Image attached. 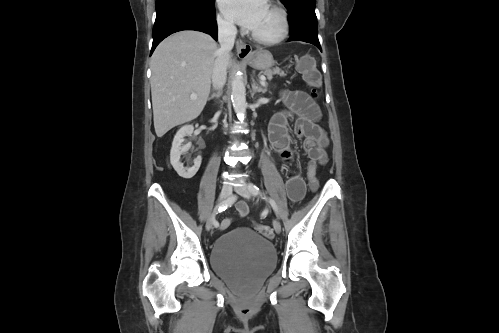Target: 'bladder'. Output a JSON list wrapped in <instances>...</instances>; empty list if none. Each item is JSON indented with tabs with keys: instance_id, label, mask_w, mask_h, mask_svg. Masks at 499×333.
<instances>
[{
	"instance_id": "1",
	"label": "bladder",
	"mask_w": 499,
	"mask_h": 333,
	"mask_svg": "<svg viewBox=\"0 0 499 333\" xmlns=\"http://www.w3.org/2000/svg\"><path fill=\"white\" fill-rule=\"evenodd\" d=\"M213 271L239 288L261 283L277 263L275 247L247 227L222 233L210 250Z\"/></svg>"
}]
</instances>
